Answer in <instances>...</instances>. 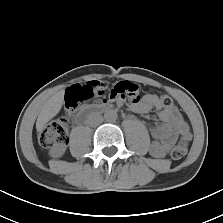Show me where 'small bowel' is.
I'll use <instances>...</instances> for the list:
<instances>
[{"label":"small bowel","instance_id":"c3829d8e","mask_svg":"<svg viewBox=\"0 0 223 223\" xmlns=\"http://www.w3.org/2000/svg\"><path fill=\"white\" fill-rule=\"evenodd\" d=\"M103 102L107 103V100H103ZM130 108L140 114L147 113L152 108L158 110L160 123L151 129L154 141L150 147L151 155L156 158L163 157L168 149L181 137L187 139L191 137L189 126L178 109L173 105L162 107L159 103V97L154 93H148L141 99H132Z\"/></svg>","mask_w":223,"mask_h":223}]
</instances>
